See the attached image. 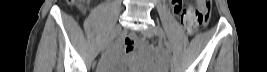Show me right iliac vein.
Returning a JSON list of instances; mask_svg holds the SVG:
<instances>
[{
  "mask_svg": "<svg viewBox=\"0 0 267 72\" xmlns=\"http://www.w3.org/2000/svg\"><path fill=\"white\" fill-rule=\"evenodd\" d=\"M121 33H122V27H121V25L118 24L114 28L113 33L111 35L112 39L109 40V41L104 42V44L102 45L101 50L104 51L113 42L114 38L118 37Z\"/></svg>",
  "mask_w": 267,
  "mask_h": 72,
  "instance_id": "1",
  "label": "right iliac vein"
}]
</instances>
